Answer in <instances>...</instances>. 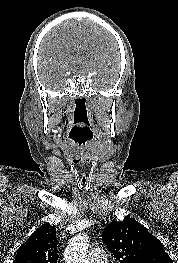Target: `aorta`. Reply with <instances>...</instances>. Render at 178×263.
Returning a JSON list of instances; mask_svg holds the SVG:
<instances>
[{"label":"aorta","instance_id":"1","mask_svg":"<svg viewBox=\"0 0 178 263\" xmlns=\"http://www.w3.org/2000/svg\"><path fill=\"white\" fill-rule=\"evenodd\" d=\"M89 240L86 235H77L73 237L65 251V263H89L87 252Z\"/></svg>","mask_w":178,"mask_h":263}]
</instances>
